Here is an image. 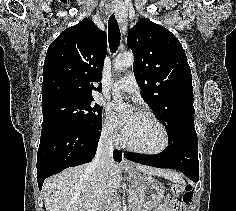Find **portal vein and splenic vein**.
I'll list each match as a JSON object with an SVG mask.
<instances>
[{
	"mask_svg": "<svg viewBox=\"0 0 236 211\" xmlns=\"http://www.w3.org/2000/svg\"><path fill=\"white\" fill-rule=\"evenodd\" d=\"M132 201H133L132 198H129V199H128V203H131Z\"/></svg>",
	"mask_w": 236,
	"mask_h": 211,
	"instance_id": "obj_1",
	"label": "portal vein and splenic vein"
}]
</instances>
